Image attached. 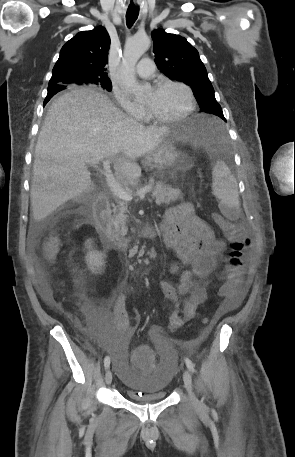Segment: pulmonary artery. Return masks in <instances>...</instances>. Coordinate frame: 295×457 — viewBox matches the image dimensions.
Listing matches in <instances>:
<instances>
[{
    "label": "pulmonary artery",
    "instance_id": "obj_1",
    "mask_svg": "<svg viewBox=\"0 0 295 457\" xmlns=\"http://www.w3.org/2000/svg\"><path fill=\"white\" fill-rule=\"evenodd\" d=\"M136 73L142 78H150L155 71V65L150 58H143L136 66Z\"/></svg>",
    "mask_w": 295,
    "mask_h": 457
}]
</instances>
